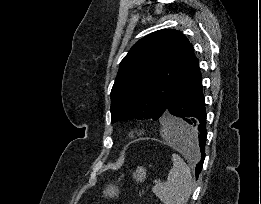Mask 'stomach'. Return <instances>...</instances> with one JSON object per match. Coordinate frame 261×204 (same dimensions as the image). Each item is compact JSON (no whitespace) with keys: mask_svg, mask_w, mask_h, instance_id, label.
<instances>
[{"mask_svg":"<svg viewBox=\"0 0 261 204\" xmlns=\"http://www.w3.org/2000/svg\"><path fill=\"white\" fill-rule=\"evenodd\" d=\"M133 178L137 182L144 181L146 178V169H144L143 167H138L136 171L133 173ZM103 193L105 196L114 197L118 195L119 188L116 185L110 183L106 185V188L104 189Z\"/></svg>","mask_w":261,"mask_h":204,"instance_id":"0dacf381","label":"stomach"}]
</instances>
